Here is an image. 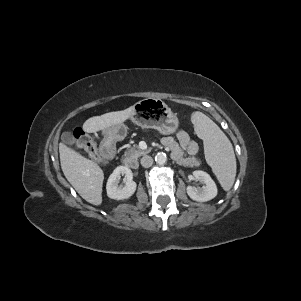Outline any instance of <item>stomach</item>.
<instances>
[{"mask_svg":"<svg viewBox=\"0 0 301 301\" xmlns=\"http://www.w3.org/2000/svg\"><path fill=\"white\" fill-rule=\"evenodd\" d=\"M134 112L131 120L142 128H153L161 134L170 135L177 131L179 119L167 105L155 98L143 99L133 106ZM106 140L116 141L125 135L122 125L104 130Z\"/></svg>","mask_w":301,"mask_h":301,"instance_id":"obj_1","label":"stomach"}]
</instances>
